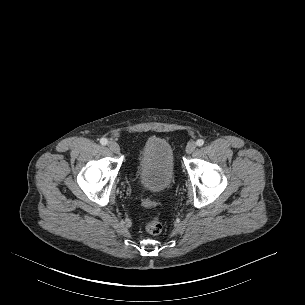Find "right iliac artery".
<instances>
[{"mask_svg": "<svg viewBox=\"0 0 305 305\" xmlns=\"http://www.w3.org/2000/svg\"><path fill=\"white\" fill-rule=\"evenodd\" d=\"M100 143H101L102 145H106V144L108 143V141H107L106 138H101V139H100Z\"/></svg>", "mask_w": 305, "mask_h": 305, "instance_id": "1", "label": "right iliac artery"}]
</instances>
